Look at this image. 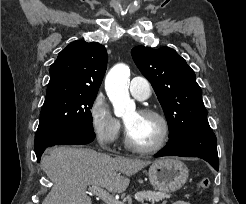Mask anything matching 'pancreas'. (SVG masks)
<instances>
[{
  "label": "pancreas",
  "mask_w": 246,
  "mask_h": 204,
  "mask_svg": "<svg viewBox=\"0 0 246 204\" xmlns=\"http://www.w3.org/2000/svg\"><path fill=\"white\" fill-rule=\"evenodd\" d=\"M136 196L142 201H151L154 203L170 198L171 194L165 191H140L136 192ZM125 201H128V204H131V197L127 196L122 203L125 204Z\"/></svg>",
  "instance_id": "cf45deb5"
}]
</instances>
